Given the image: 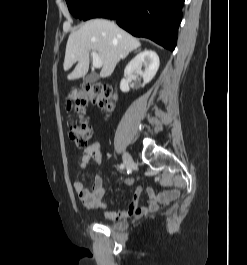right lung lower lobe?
<instances>
[{
  "instance_id": "98d812e1",
  "label": "right lung lower lobe",
  "mask_w": 247,
  "mask_h": 265,
  "mask_svg": "<svg viewBox=\"0 0 247 265\" xmlns=\"http://www.w3.org/2000/svg\"><path fill=\"white\" fill-rule=\"evenodd\" d=\"M183 3L184 0H102L82 19H116L132 35L149 38L173 51Z\"/></svg>"
}]
</instances>
